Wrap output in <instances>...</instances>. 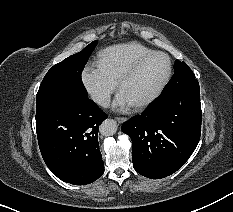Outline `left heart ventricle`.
<instances>
[{
	"instance_id": "b2bd125f",
	"label": "left heart ventricle",
	"mask_w": 233,
	"mask_h": 212,
	"mask_svg": "<svg viewBox=\"0 0 233 212\" xmlns=\"http://www.w3.org/2000/svg\"><path fill=\"white\" fill-rule=\"evenodd\" d=\"M167 72V60L164 56L155 55L146 60L137 73L125 83L122 92L132 104L149 96L162 81Z\"/></svg>"
}]
</instances>
